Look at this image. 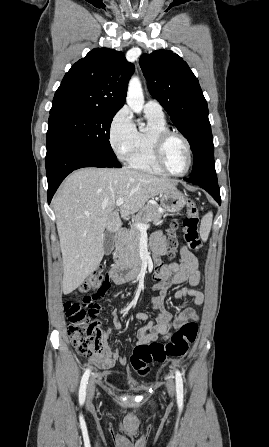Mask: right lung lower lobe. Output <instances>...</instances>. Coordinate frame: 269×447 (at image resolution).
<instances>
[{
    "label": "right lung lower lobe",
    "mask_w": 269,
    "mask_h": 447,
    "mask_svg": "<svg viewBox=\"0 0 269 447\" xmlns=\"http://www.w3.org/2000/svg\"><path fill=\"white\" fill-rule=\"evenodd\" d=\"M83 167H117L116 157L76 144L56 135L47 134L46 172L48 203L63 179L73 170Z\"/></svg>",
    "instance_id": "98d812e1"
}]
</instances>
